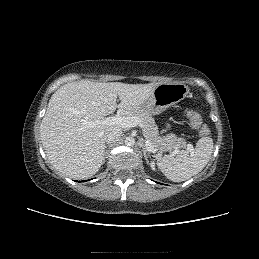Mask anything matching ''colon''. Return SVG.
Listing matches in <instances>:
<instances>
[{"mask_svg":"<svg viewBox=\"0 0 259 259\" xmlns=\"http://www.w3.org/2000/svg\"><path fill=\"white\" fill-rule=\"evenodd\" d=\"M187 117L192 125V127L197 130L200 135L207 136L209 134L208 128L205 126V124L202 121L201 116L193 111H189L187 113Z\"/></svg>","mask_w":259,"mask_h":259,"instance_id":"5ec220e1","label":"colon"}]
</instances>
